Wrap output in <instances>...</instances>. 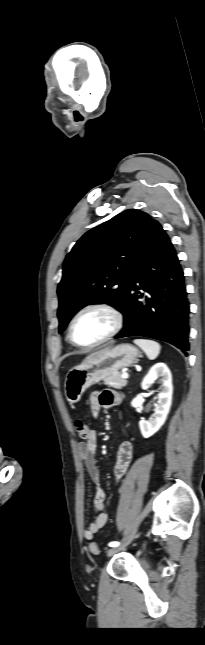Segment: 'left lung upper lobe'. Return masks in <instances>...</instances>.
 I'll use <instances>...</instances> for the list:
<instances>
[{"label": "left lung upper lobe", "instance_id": "left-lung-upper-lobe-1", "mask_svg": "<svg viewBox=\"0 0 205 645\" xmlns=\"http://www.w3.org/2000/svg\"><path fill=\"white\" fill-rule=\"evenodd\" d=\"M151 221L147 213L129 209L77 241L66 256L57 289L59 333L90 303H106L121 311L131 263Z\"/></svg>", "mask_w": 205, "mask_h": 645}]
</instances>
